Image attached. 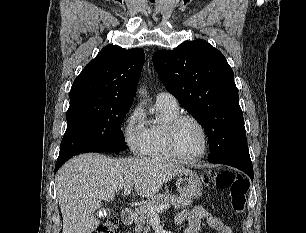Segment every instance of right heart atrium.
I'll return each instance as SVG.
<instances>
[{
  "instance_id": "obj_1",
  "label": "right heart atrium",
  "mask_w": 306,
  "mask_h": 233,
  "mask_svg": "<svg viewBox=\"0 0 306 233\" xmlns=\"http://www.w3.org/2000/svg\"><path fill=\"white\" fill-rule=\"evenodd\" d=\"M123 137L130 151L136 156L145 155L146 125L140 107L134 108L123 125Z\"/></svg>"
}]
</instances>
